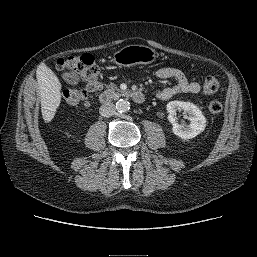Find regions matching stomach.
I'll return each instance as SVG.
<instances>
[{"label":"stomach","instance_id":"stomach-1","mask_svg":"<svg viewBox=\"0 0 257 257\" xmlns=\"http://www.w3.org/2000/svg\"><path fill=\"white\" fill-rule=\"evenodd\" d=\"M157 54L154 49L144 45H128L115 52L113 62L117 65L130 67L137 64H150Z\"/></svg>","mask_w":257,"mask_h":257}]
</instances>
